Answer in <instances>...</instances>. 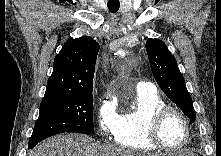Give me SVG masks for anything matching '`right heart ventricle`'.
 I'll return each mask as SVG.
<instances>
[{"label":"right heart ventricle","instance_id":"1","mask_svg":"<svg viewBox=\"0 0 221 156\" xmlns=\"http://www.w3.org/2000/svg\"><path fill=\"white\" fill-rule=\"evenodd\" d=\"M164 105V100L156 91H137L135 108L118 115L115 143L131 150H156L147 137V127L152 114Z\"/></svg>","mask_w":221,"mask_h":156}]
</instances>
